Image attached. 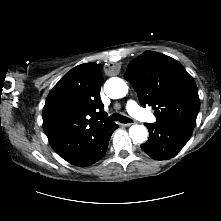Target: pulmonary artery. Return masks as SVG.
<instances>
[{"mask_svg": "<svg viewBox=\"0 0 221 221\" xmlns=\"http://www.w3.org/2000/svg\"><path fill=\"white\" fill-rule=\"evenodd\" d=\"M126 109L130 115L135 117L136 119L144 122H154L156 120V117L142 109L135 101L128 100L126 103Z\"/></svg>", "mask_w": 221, "mask_h": 221, "instance_id": "pulmonary-artery-1", "label": "pulmonary artery"}]
</instances>
